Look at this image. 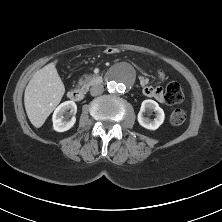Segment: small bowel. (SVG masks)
<instances>
[{
    "label": "small bowel",
    "instance_id": "c3829d8e",
    "mask_svg": "<svg viewBox=\"0 0 222 222\" xmlns=\"http://www.w3.org/2000/svg\"><path fill=\"white\" fill-rule=\"evenodd\" d=\"M158 78L160 80L165 79V74L162 70L158 71ZM140 85L142 86L143 93L150 98H155L158 101H163V93L162 89L159 86L151 85L149 79L147 77L141 76L139 78Z\"/></svg>",
    "mask_w": 222,
    "mask_h": 222
}]
</instances>
